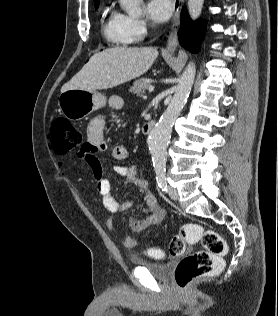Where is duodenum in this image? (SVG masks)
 Listing matches in <instances>:
<instances>
[{
	"instance_id": "obj_1",
	"label": "duodenum",
	"mask_w": 278,
	"mask_h": 316,
	"mask_svg": "<svg viewBox=\"0 0 278 316\" xmlns=\"http://www.w3.org/2000/svg\"><path fill=\"white\" fill-rule=\"evenodd\" d=\"M154 127H155V121L153 120L147 121L142 126V133L149 134L153 130Z\"/></svg>"
}]
</instances>
